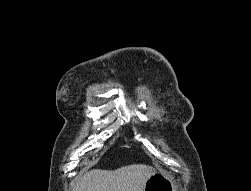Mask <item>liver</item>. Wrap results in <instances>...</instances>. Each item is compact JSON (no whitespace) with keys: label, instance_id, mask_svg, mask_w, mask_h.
<instances>
[{"label":"liver","instance_id":"6515ba94","mask_svg":"<svg viewBox=\"0 0 251 191\" xmlns=\"http://www.w3.org/2000/svg\"><path fill=\"white\" fill-rule=\"evenodd\" d=\"M155 173L154 167L144 163L124 165L119 169H91L79 181L73 191H144V185Z\"/></svg>","mask_w":251,"mask_h":191}]
</instances>
